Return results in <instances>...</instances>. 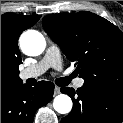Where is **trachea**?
<instances>
[{"label":"trachea","instance_id":"obj_1","mask_svg":"<svg viewBox=\"0 0 123 123\" xmlns=\"http://www.w3.org/2000/svg\"><path fill=\"white\" fill-rule=\"evenodd\" d=\"M72 78H73V76L58 78V79H56L55 83L58 86H67L70 83Z\"/></svg>","mask_w":123,"mask_h":123}]
</instances>
